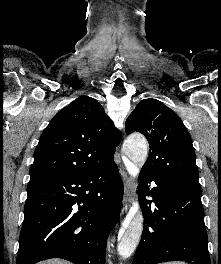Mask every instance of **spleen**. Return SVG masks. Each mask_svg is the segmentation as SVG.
<instances>
[{
	"label": "spleen",
	"mask_w": 221,
	"mask_h": 264,
	"mask_svg": "<svg viewBox=\"0 0 221 264\" xmlns=\"http://www.w3.org/2000/svg\"><path fill=\"white\" fill-rule=\"evenodd\" d=\"M163 264H187L184 262H167V263H163Z\"/></svg>",
	"instance_id": "spleen-1"
}]
</instances>
